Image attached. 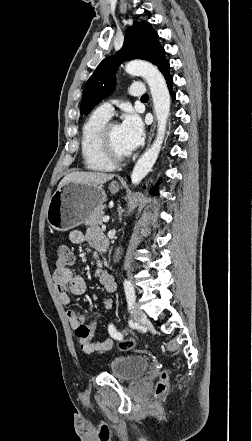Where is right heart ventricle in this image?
I'll return each instance as SVG.
<instances>
[{"label": "right heart ventricle", "instance_id": "1", "mask_svg": "<svg viewBox=\"0 0 252 441\" xmlns=\"http://www.w3.org/2000/svg\"><path fill=\"white\" fill-rule=\"evenodd\" d=\"M109 117L93 112L84 122L81 132L80 150L85 169L94 172H109L114 166L107 162L99 149V135Z\"/></svg>", "mask_w": 252, "mask_h": 441}]
</instances>
